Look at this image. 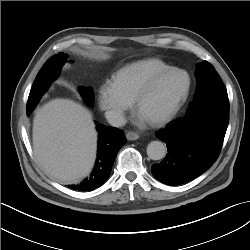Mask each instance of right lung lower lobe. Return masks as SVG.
I'll return each mask as SVG.
<instances>
[{
  "label": "right lung lower lobe",
  "instance_id": "right-lung-lower-lobe-1",
  "mask_svg": "<svg viewBox=\"0 0 250 250\" xmlns=\"http://www.w3.org/2000/svg\"><path fill=\"white\" fill-rule=\"evenodd\" d=\"M96 124L99 140L94 170L80 184L68 186L73 190L92 191L100 187L108 179L119 149L126 143V138L121 130Z\"/></svg>",
  "mask_w": 250,
  "mask_h": 250
}]
</instances>
